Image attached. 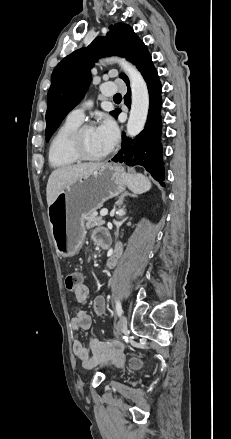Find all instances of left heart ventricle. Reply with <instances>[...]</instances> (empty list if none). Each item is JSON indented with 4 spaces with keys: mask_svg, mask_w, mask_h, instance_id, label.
<instances>
[{
    "mask_svg": "<svg viewBox=\"0 0 231 439\" xmlns=\"http://www.w3.org/2000/svg\"><path fill=\"white\" fill-rule=\"evenodd\" d=\"M82 145L84 150L90 155H101L107 152V149L100 138L97 136L94 128L88 129L82 136Z\"/></svg>",
    "mask_w": 231,
    "mask_h": 439,
    "instance_id": "left-heart-ventricle-1",
    "label": "left heart ventricle"
}]
</instances>
